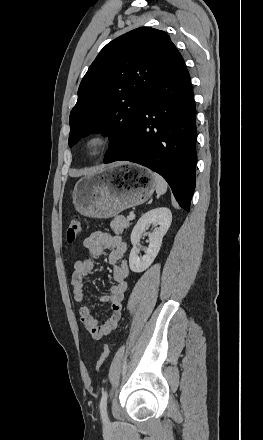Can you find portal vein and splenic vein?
Returning <instances> with one entry per match:
<instances>
[{
	"label": "portal vein and splenic vein",
	"mask_w": 263,
	"mask_h": 440,
	"mask_svg": "<svg viewBox=\"0 0 263 440\" xmlns=\"http://www.w3.org/2000/svg\"><path fill=\"white\" fill-rule=\"evenodd\" d=\"M135 218V214L133 212H131L128 216L127 219L128 220H133Z\"/></svg>",
	"instance_id": "obj_1"
}]
</instances>
